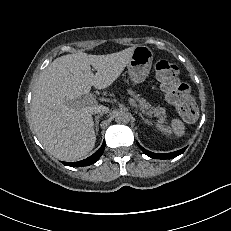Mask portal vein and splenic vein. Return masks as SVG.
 I'll return each instance as SVG.
<instances>
[{
    "label": "portal vein and splenic vein",
    "instance_id": "18ae733b",
    "mask_svg": "<svg viewBox=\"0 0 231 231\" xmlns=\"http://www.w3.org/2000/svg\"><path fill=\"white\" fill-rule=\"evenodd\" d=\"M128 101L133 107H135V108L138 107L135 100H133L132 98H129ZM95 103H96V99L92 95H87L83 99L75 101L73 103V105L76 106V107H82V106H85V105H93Z\"/></svg>",
    "mask_w": 231,
    "mask_h": 231
}]
</instances>
